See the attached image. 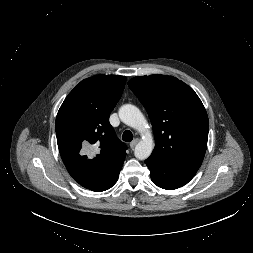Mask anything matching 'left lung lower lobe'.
<instances>
[{"mask_svg":"<svg viewBox=\"0 0 253 253\" xmlns=\"http://www.w3.org/2000/svg\"><path fill=\"white\" fill-rule=\"evenodd\" d=\"M145 163L150 170L153 183L163 189H177L193 178L191 175L166 168L150 158L146 159Z\"/></svg>","mask_w":253,"mask_h":253,"instance_id":"0a47b994","label":"left lung lower lobe"}]
</instances>
